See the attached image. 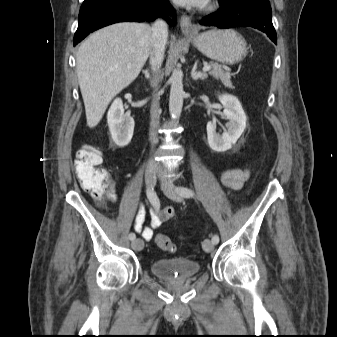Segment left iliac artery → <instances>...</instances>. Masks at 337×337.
Listing matches in <instances>:
<instances>
[{
	"label": "left iliac artery",
	"instance_id": "1",
	"mask_svg": "<svg viewBox=\"0 0 337 337\" xmlns=\"http://www.w3.org/2000/svg\"><path fill=\"white\" fill-rule=\"evenodd\" d=\"M178 191H179L181 196L186 197V198H190V197L194 196V192L187 187H179ZM212 242H213V244H218L219 236L217 234H215L212 237Z\"/></svg>",
	"mask_w": 337,
	"mask_h": 337
}]
</instances>
